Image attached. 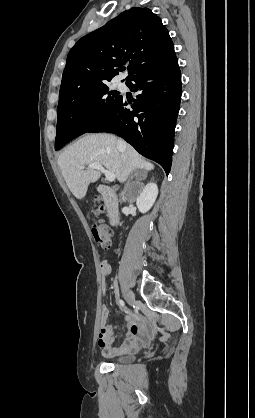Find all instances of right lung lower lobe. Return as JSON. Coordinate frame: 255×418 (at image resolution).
I'll use <instances>...</instances> for the list:
<instances>
[{
  "label": "right lung lower lobe",
  "instance_id": "98d812e1",
  "mask_svg": "<svg viewBox=\"0 0 255 418\" xmlns=\"http://www.w3.org/2000/svg\"><path fill=\"white\" fill-rule=\"evenodd\" d=\"M126 85L139 92L134 103L121 96L112 112L87 132H108L122 137L140 154L159 163L168 175L182 93L178 59L175 56L153 66ZM128 104L132 110L126 108Z\"/></svg>",
  "mask_w": 255,
  "mask_h": 418
}]
</instances>
